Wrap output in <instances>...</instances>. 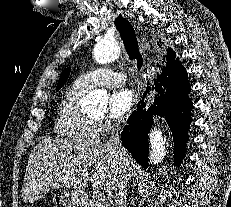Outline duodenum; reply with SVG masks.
<instances>
[{
    "mask_svg": "<svg viewBox=\"0 0 231 207\" xmlns=\"http://www.w3.org/2000/svg\"><path fill=\"white\" fill-rule=\"evenodd\" d=\"M78 198H79L81 201L85 202V201L87 200L88 196H87L86 194H84V193H79V194H78Z\"/></svg>",
    "mask_w": 231,
    "mask_h": 207,
    "instance_id": "duodenum-1",
    "label": "duodenum"
}]
</instances>
